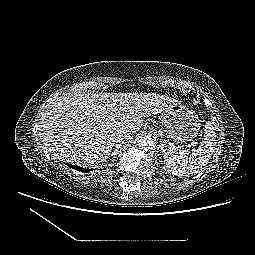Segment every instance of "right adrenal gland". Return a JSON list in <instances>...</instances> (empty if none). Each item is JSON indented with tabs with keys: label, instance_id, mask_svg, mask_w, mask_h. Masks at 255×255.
<instances>
[{
	"label": "right adrenal gland",
	"instance_id": "2a0ac1e0",
	"mask_svg": "<svg viewBox=\"0 0 255 255\" xmlns=\"http://www.w3.org/2000/svg\"><path fill=\"white\" fill-rule=\"evenodd\" d=\"M122 145L121 144H117L114 148V150L111 153V157L116 158L117 154H118V150L120 149Z\"/></svg>",
	"mask_w": 255,
	"mask_h": 255
}]
</instances>
